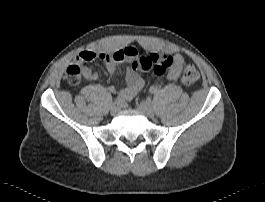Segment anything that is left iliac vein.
Segmentation results:
<instances>
[{"label": "left iliac vein", "instance_id": "obj_1", "mask_svg": "<svg viewBox=\"0 0 265 202\" xmlns=\"http://www.w3.org/2000/svg\"><path fill=\"white\" fill-rule=\"evenodd\" d=\"M137 109L149 118H152L155 115L153 105L149 100L141 101L138 104Z\"/></svg>", "mask_w": 265, "mask_h": 202}]
</instances>
